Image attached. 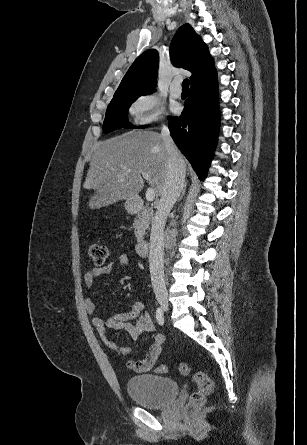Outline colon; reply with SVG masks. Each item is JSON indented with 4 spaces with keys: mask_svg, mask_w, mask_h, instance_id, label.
I'll return each instance as SVG.
<instances>
[{
    "mask_svg": "<svg viewBox=\"0 0 307 445\" xmlns=\"http://www.w3.org/2000/svg\"><path fill=\"white\" fill-rule=\"evenodd\" d=\"M89 256L93 263L102 267L109 256V248L106 245L93 243L88 248ZM157 373H167L169 367L167 365H159L156 367ZM177 371L181 375H188L191 372L190 365L186 362L178 364ZM194 380L197 383V390L192 394L190 398V405L192 407H198L204 404L206 398L212 394L214 390V383L212 379L203 371H197L193 375Z\"/></svg>",
    "mask_w": 307,
    "mask_h": 445,
    "instance_id": "5ec220e1",
    "label": "colon"
}]
</instances>
